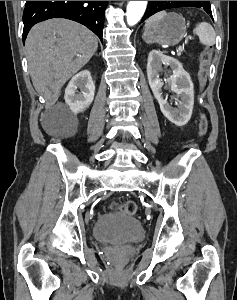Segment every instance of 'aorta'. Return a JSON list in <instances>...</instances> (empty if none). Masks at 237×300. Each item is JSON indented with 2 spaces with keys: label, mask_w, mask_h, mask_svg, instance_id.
<instances>
[{
  "label": "aorta",
  "mask_w": 237,
  "mask_h": 300,
  "mask_svg": "<svg viewBox=\"0 0 237 300\" xmlns=\"http://www.w3.org/2000/svg\"><path fill=\"white\" fill-rule=\"evenodd\" d=\"M147 3L148 1H130V3H128L126 19L130 27H133V25H136V23L142 19L146 11Z\"/></svg>",
  "instance_id": "762f6f07"
}]
</instances>
